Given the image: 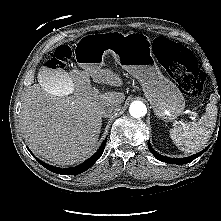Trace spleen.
<instances>
[{
  "instance_id": "3e777b00",
  "label": "spleen",
  "mask_w": 221,
  "mask_h": 221,
  "mask_svg": "<svg viewBox=\"0 0 221 221\" xmlns=\"http://www.w3.org/2000/svg\"><path fill=\"white\" fill-rule=\"evenodd\" d=\"M218 108L211 101L206 113L198 122H188L175 125L170 130V137L179 150L195 153L204 147L210 139L217 121Z\"/></svg>"
}]
</instances>
